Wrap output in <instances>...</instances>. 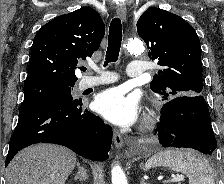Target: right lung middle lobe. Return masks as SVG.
<instances>
[{"label": "right lung middle lobe", "instance_id": "1", "mask_svg": "<svg viewBox=\"0 0 224 184\" xmlns=\"http://www.w3.org/2000/svg\"><path fill=\"white\" fill-rule=\"evenodd\" d=\"M74 84L59 83H34L24 86V101L20 110L38 101L47 99H57L63 101H73L72 87Z\"/></svg>", "mask_w": 224, "mask_h": 184}]
</instances>
